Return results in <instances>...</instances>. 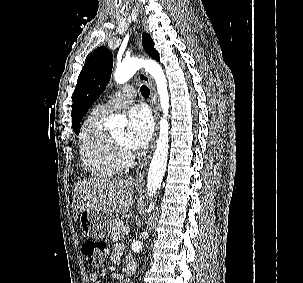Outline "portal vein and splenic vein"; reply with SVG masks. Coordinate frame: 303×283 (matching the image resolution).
Wrapping results in <instances>:
<instances>
[{
  "label": "portal vein and splenic vein",
  "mask_w": 303,
  "mask_h": 283,
  "mask_svg": "<svg viewBox=\"0 0 303 283\" xmlns=\"http://www.w3.org/2000/svg\"><path fill=\"white\" fill-rule=\"evenodd\" d=\"M121 224L123 225V223L121 222ZM130 231L129 227H124L123 228V232L124 233H128Z\"/></svg>",
  "instance_id": "obj_1"
}]
</instances>
